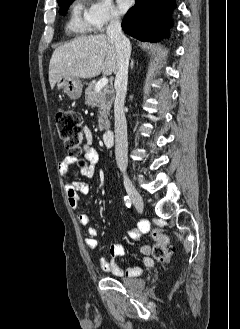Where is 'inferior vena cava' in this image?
<instances>
[{
    "label": "inferior vena cava",
    "mask_w": 240,
    "mask_h": 329,
    "mask_svg": "<svg viewBox=\"0 0 240 329\" xmlns=\"http://www.w3.org/2000/svg\"><path fill=\"white\" fill-rule=\"evenodd\" d=\"M107 36L114 40L117 52V71L114 87L116 97L114 102L115 116V156L117 166L125 173L128 159L127 124L124 113V100L127 92L128 65L131 54L129 39L121 30V22L118 16H112L107 27Z\"/></svg>",
    "instance_id": "1"
}]
</instances>
